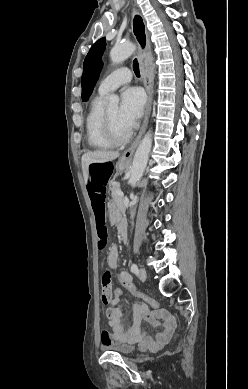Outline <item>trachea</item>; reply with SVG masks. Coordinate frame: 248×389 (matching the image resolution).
Listing matches in <instances>:
<instances>
[{"label": "trachea", "mask_w": 248, "mask_h": 389, "mask_svg": "<svg viewBox=\"0 0 248 389\" xmlns=\"http://www.w3.org/2000/svg\"><path fill=\"white\" fill-rule=\"evenodd\" d=\"M133 70H134L135 75L137 77H140L139 64H138L137 59H134V61H133Z\"/></svg>", "instance_id": "trachea-1"}]
</instances>
